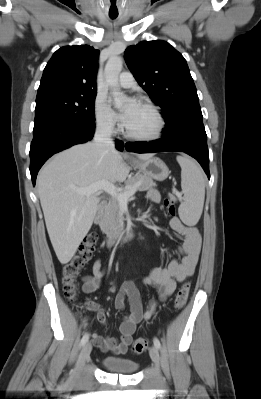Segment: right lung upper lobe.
<instances>
[{
    "instance_id": "cb5924a9",
    "label": "right lung upper lobe",
    "mask_w": 261,
    "mask_h": 399,
    "mask_svg": "<svg viewBox=\"0 0 261 399\" xmlns=\"http://www.w3.org/2000/svg\"><path fill=\"white\" fill-rule=\"evenodd\" d=\"M99 51L88 45L65 46L47 63L37 97L52 94L96 95Z\"/></svg>"
}]
</instances>
